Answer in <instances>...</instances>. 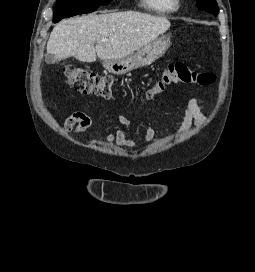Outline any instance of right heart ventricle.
<instances>
[{"label":"right heart ventricle","mask_w":255,"mask_h":272,"mask_svg":"<svg viewBox=\"0 0 255 272\" xmlns=\"http://www.w3.org/2000/svg\"><path fill=\"white\" fill-rule=\"evenodd\" d=\"M141 7L149 12L167 15L179 8V0H140Z\"/></svg>","instance_id":"right-heart-ventricle-1"}]
</instances>
